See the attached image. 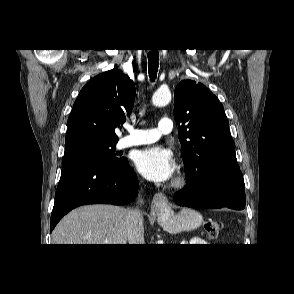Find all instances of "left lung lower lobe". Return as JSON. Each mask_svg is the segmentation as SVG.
<instances>
[{
	"mask_svg": "<svg viewBox=\"0 0 294 294\" xmlns=\"http://www.w3.org/2000/svg\"><path fill=\"white\" fill-rule=\"evenodd\" d=\"M174 201L191 208L242 210L245 208V185L240 170H213L200 180H186Z\"/></svg>",
	"mask_w": 294,
	"mask_h": 294,
	"instance_id": "left-lung-lower-lobe-1",
	"label": "left lung lower lobe"
}]
</instances>
